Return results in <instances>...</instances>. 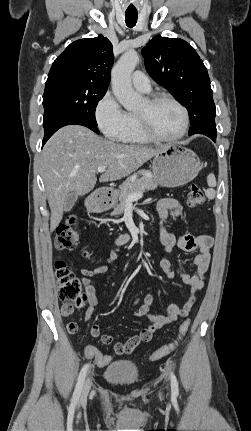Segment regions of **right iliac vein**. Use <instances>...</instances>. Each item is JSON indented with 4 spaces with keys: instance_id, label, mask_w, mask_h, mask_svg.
Listing matches in <instances>:
<instances>
[{
    "instance_id": "obj_1",
    "label": "right iliac vein",
    "mask_w": 251,
    "mask_h": 431,
    "mask_svg": "<svg viewBox=\"0 0 251 431\" xmlns=\"http://www.w3.org/2000/svg\"><path fill=\"white\" fill-rule=\"evenodd\" d=\"M90 387H91V382H90L89 379H87L85 381V384H84V387H83V390H82L81 400H85L87 398V395L89 393Z\"/></svg>"
}]
</instances>
